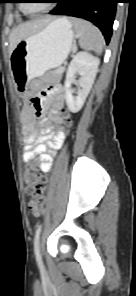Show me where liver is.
<instances>
[{
  "label": "liver",
  "instance_id": "obj_1",
  "mask_svg": "<svg viewBox=\"0 0 136 296\" xmlns=\"http://www.w3.org/2000/svg\"><path fill=\"white\" fill-rule=\"evenodd\" d=\"M51 17H45L40 19L31 20L25 22L18 27H16L10 34L9 42H10V52L14 50L16 45L23 39L28 36L38 32L43 27H45L50 21Z\"/></svg>",
  "mask_w": 136,
  "mask_h": 296
}]
</instances>
